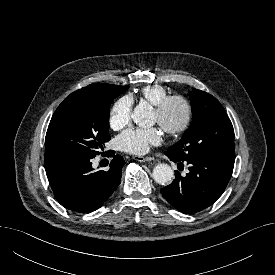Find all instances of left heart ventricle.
I'll list each match as a JSON object with an SVG mask.
<instances>
[{"mask_svg":"<svg viewBox=\"0 0 275 275\" xmlns=\"http://www.w3.org/2000/svg\"><path fill=\"white\" fill-rule=\"evenodd\" d=\"M183 118V109L181 105L175 104L171 107L168 116L167 121L173 125H177L181 122ZM153 120L155 123L158 122V115L156 112H154Z\"/></svg>","mask_w":275,"mask_h":275,"instance_id":"1","label":"left heart ventricle"}]
</instances>
